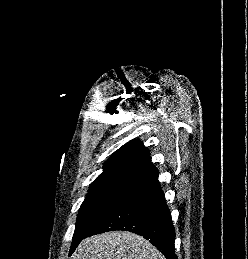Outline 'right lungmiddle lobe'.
<instances>
[{
    "label": "right lung middle lobe",
    "instance_id": "right-lung-middle-lobe-1",
    "mask_svg": "<svg viewBox=\"0 0 248 259\" xmlns=\"http://www.w3.org/2000/svg\"><path fill=\"white\" fill-rule=\"evenodd\" d=\"M126 183L91 185L82 203L71 248L88 234L114 203L131 187Z\"/></svg>",
    "mask_w": 248,
    "mask_h": 259
}]
</instances>
